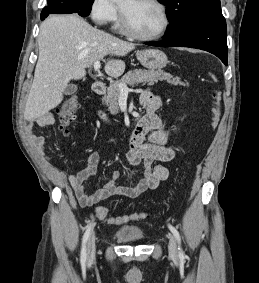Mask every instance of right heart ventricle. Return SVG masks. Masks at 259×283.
I'll return each instance as SVG.
<instances>
[{
  "mask_svg": "<svg viewBox=\"0 0 259 283\" xmlns=\"http://www.w3.org/2000/svg\"><path fill=\"white\" fill-rule=\"evenodd\" d=\"M116 28L121 30V26H120V22L119 20H116V24H115Z\"/></svg>",
  "mask_w": 259,
  "mask_h": 283,
  "instance_id": "e07e8e85",
  "label": "right heart ventricle"
}]
</instances>
